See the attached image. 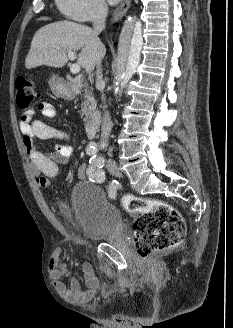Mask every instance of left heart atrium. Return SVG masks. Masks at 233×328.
I'll return each instance as SVG.
<instances>
[{"instance_id": "39dd6f15", "label": "left heart atrium", "mask_w": 233, "mask_h": 328, "mask_svg": "<svg viewBox=\"0 0 233 328\" xmlns=\"http://www.w3.org/2000/svg\"><path fill=\"white\" fill-rule=\"evenodd\" d=\"M120 0H108L110 4H117Z\"/></svg>"}]
</instances>
